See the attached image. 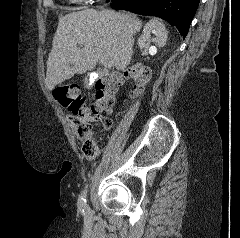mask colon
<instances>
[{"instance_id":"1","label":"colon","mask_w":240,"mask_h":238,"mask_svg":"<svg viewBox=\"0 0 240 238\" xmlns=\"http://www.w3.org/2000/svg\"><path fill=\"white\" fill-rule=\"evenodd\" d=\"M133 80L132 95L140 92L150 79L149 70L141 65L129 68L124 76L113 74L96 84L95 99L91 105H87L81 95L80 88L76 84H64L52 90L54 99L72 114V125L77 138L81 141V150L87 159H93L97 155V145L94 141V130L84 121L89 114L99 115L102 111L112 109L115 105V96L123 78ZM106 128L111 126V120L102 117Z\"/></svg>"}]
</instances>
